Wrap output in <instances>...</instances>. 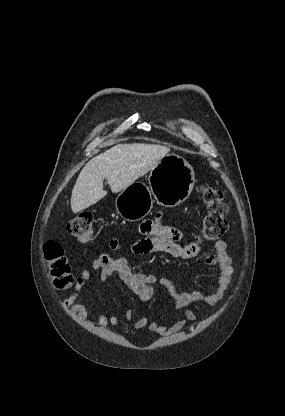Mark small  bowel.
Instances as JSON below:
<instances>
[{"instance_id": "c3829d8e", "label": "small bowel", "mask_w": 285, "mask_h": 416, "mask_svg": "<svg viewBox=\"0 0 285 416\" xmlns=\"http://www.w3.org/2000/svg\"><path fill=\"white\" fill-rule=\"evenodd\" d=\"M140 232L143 238L134 242L131 247L132 252L138 255L165 253L173 258L188 260L197 256L201 251V246L197 241L186 245L179 244L184 237L183 232L176 227L163 224L160 215L154 220L144 221L140 226ZM118 248V242L113 241L111 249ZM205 262L217 270L216 285L210 293L206 294L199 290L179 291L168 279L134 272L125 259L112 258L109 254H102L96 258L92 262V269L99 273L102 282L116 277L142 301H150L154 297L156 285L163 288L170 296L175 310L182 312L181 317L174 323L160 324L157 321H149L145 316L132 322L134 314L131 309L125 311L124 317L128 323L127 330L146 328L151 333L167 336L179 332L186 323L197 320V315L191 306L202 302L215 306L225 297L233 274L226 242L221 240L215 242L212 251L206 255ZM90 279L91 272L84 269L75 279L74 292L62 301V304L68 307L70 312L80 320H86L88 317V311L84 305L85 297L81 295V291L86 288ZM97 318L101 328L115 327L119 323V317L115 314L106 316L99 313Z\"/></svg>"}]
</instances>
